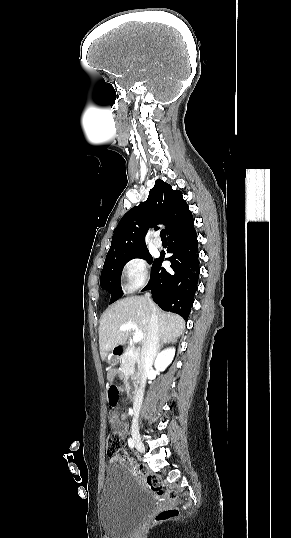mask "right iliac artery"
Masks as SVG:
<instances>
[{
  "instance_id": "right-iliac-artery-1",
  "label": "right iliac artery",
  "mask_w": 291,
  "mask_h": 538,
  "mask_svg": "<svg viewBox=\"0 0 291 538\" xmlns=\"http://www.w3.org/2000/svg\"><path fill=\"white\" fill-rule=\"evenodd\" d=\"M128 445H129V447H130L131 449L134 448V442H133V440H132L131 438L128 439Z\"/></svg>"
}]
</instances>
